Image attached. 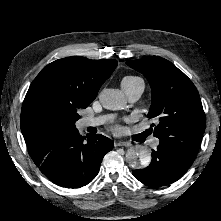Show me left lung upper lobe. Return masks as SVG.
<instances>
[{
  "instance_id": "5c2ea615",
  "label": "left lung upper lobe",
  "mask_w": 221,
  "mask_h": 221,
  "mask_svg": "<svg viewBox=\"0 0 221 221\" xmlns=\"http://www.w3.org/2000/svg\"><path fill=\"white\" fill-rule=\"evenodd\" d=\"M150 83L149 118L158 122L154 135L160 144L194 160L206 128L199 93L191 80L174 64L159 56L126 62ZM154 126V124L152 125Z\"/></svg>"
}]
</instances>
